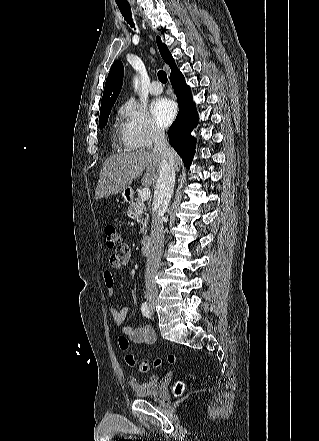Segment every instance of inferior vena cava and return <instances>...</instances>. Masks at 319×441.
<instances>
[{
    "mask_svg": "<svg viewBox=\"0 0 319 441\" xmlns=\"http://www.w3.org/2000/svg\"><path fill=\"white\" fill-rule=\"evenodd\" d=\"M153 154L159 159V178L155 185L151 222V245L145 268L146 297L158 295L155 274L164 245L163 216L172 198L175 184V153L161 130L154 132Z\"/></svg>",
    "mask_w": 319,
    "mask_h": 441,
    "instance_id": "1",
    "label": "inferior vena cava"
}]
</instances>
